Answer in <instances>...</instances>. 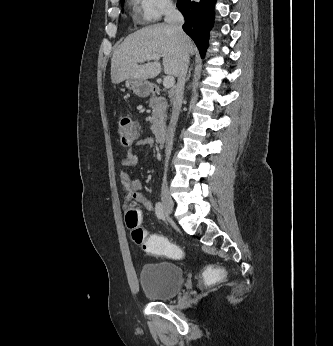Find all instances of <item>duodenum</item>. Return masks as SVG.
Listing matches in <instances>:
<instances>
[{
	"instance_id": "410a0bca",
	"label": "duodenum",
	"mask_w": 333,
	"mask_h": 346,
	"mask_svg": "<svg viewBox=\"0 0 333 346\" xmlns=\"http://www.w3.org/2000/svg\"><path fill=\"white\" fill-rule=\"evenodd\" d=\"M168 130L166 127H159L155 131V137L158 143H164L167 139Z\"/></svg>"
}]
</instances>
